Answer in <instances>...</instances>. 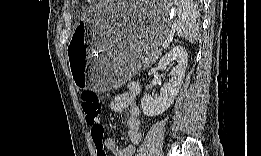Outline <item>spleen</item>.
<instances>
[{"label": "spleen", "instance_id": "1", "mask_svg": "<svg viewBox=\"0 0 261 156\" xmlns=\"http://www.w3.org/2000/svg\"><path fill=\"white\" fill-rule=\"evenodd\" d=\"M175 12L179 18L174 24L177 35L195 43L199 35V13L196 6L190 0H181L176 2Z\"/></svg>", "mask_w": 261, "mask_h": 156}]
</instances>
